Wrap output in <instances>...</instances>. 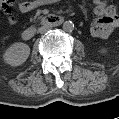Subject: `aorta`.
Wrapping results in <instances>:
<instances>
[{"label": "aorta", "instance_id": "aorta-1", "mask_svg": "<svg viewBox=\"0 0 119 119\" xmlns=\"http://www.w3.org/2000/svg\"><path fill=\"white\" fill-rule=\"evenodd\" d=\"M74 29V24L72 21H65L63 23V30L66 32H71Z\"/></svg>", "mask_w": 119, "mask_h": 119}]
</instances>
